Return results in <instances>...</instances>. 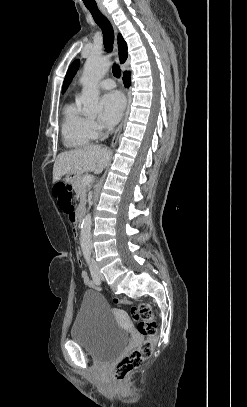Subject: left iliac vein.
I'll list each match as a JSON object with an SVG mask.
<instances>
[{"mask_svg":"<svg viewBox=\"0 0 247 407\" xmlns=\"http://www.w3.org/2000/svg\"><path fill=\"white\" fill-rule=\"evenodd\" d=\"M93 266H94V268L96 269L99 278H100L101 280H104V277H103V275H102L101 273H99L97 264H96L95 262L93 263Z\"/></svg>","mask_w":247,"mask_h":407,"instance_id":"1","label":"left iliac vein"}]
</instances>
